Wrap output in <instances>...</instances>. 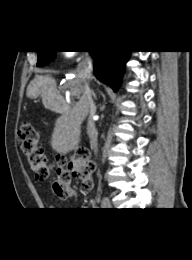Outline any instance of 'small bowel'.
Instances as JSON below:
<instances>
[{
  "instance_id": "obj_1",
  "label": "small bowel",
  "mask_w": 192,
  "mask_h": 260,
  "mask_svg": "<svg viewBox=\"0 0 192 260\" xmlns=\"http://www.w3.org/2000/svg\"><path fill=\"white\" fill-rule=\"evenodd\" d=\"M76 191L74 189H69V192H68V196L67 198L69 199H74L76 197ZM51 208H54L53 206H51Z\"/></svg>"
}]
</instances>
